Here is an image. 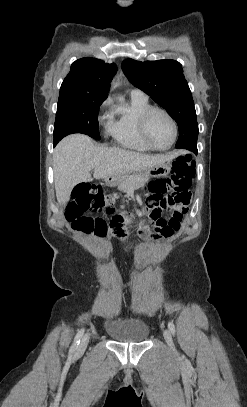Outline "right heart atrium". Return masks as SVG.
I'll return each instance as SVG.
<instances>
[{
	"label": "right heart atrium",
	"mask_w": 247,
	"mask_h": 407,
	"mask_svg": "<svg viewBox=\"0 0 247 407\" xmlns=\"http://www.w3.org/2000/svg\"><path fill=\"white\" fill-rule=\"evenodd\" d=\"M107 104H108V101L106 100V101H104L103 106H106ZM108 116H109L108 113H103V114L101 115L100 119H101L102 121L108 120V119H109Z\"/></svg>",
	"instance_id": "obj_1"
}]
</instances>
